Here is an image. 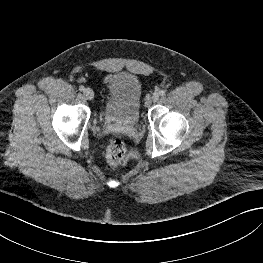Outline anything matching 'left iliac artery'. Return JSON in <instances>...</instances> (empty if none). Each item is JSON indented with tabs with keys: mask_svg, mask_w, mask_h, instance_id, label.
Listing matches in <instances>:
<instances>
[{
	"mask_svg": "<svg viewBox=\"0 0 263 263\" xmlns=\"http://www.w3.org/2000/svg\"><path fill=\"white\" fill-rule=\"evenodd\" d=\"M165 93H166V91H165V90H161V91L159 92V94H160L161 96H164V95H165Z\"/></svg>",
	"mask_w": 263,
	"mask_h": 263,
	"instance_id": "44dca946",
	"label": "left iliac artery"
}]
</instances>
